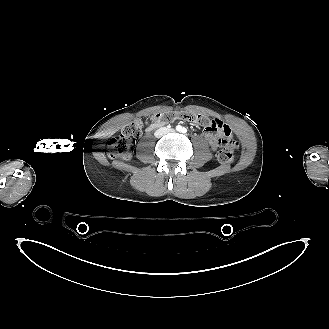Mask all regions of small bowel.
<instances>
[{
  "label": "small bowel",
  "mask_w": 329,
  "mask_h": 329,
  "mask_svg": "<svg viewBox=\"0 0 329 329\" xmlns=\"http://www.w3.org/2000/svg\"><path fill=\"white\" fill-rule=\"evenodd\" d=\"M219 121V120H218ZM220 124L217 125V122L215 120H212L210 122V125L212 127H215L216 125V131L205 129L204 130V136L209 140L210 146L212 150L216 151L219 147V143L221 142L223 137H227L229 139H233V135L231 132V129L228 125L224 124L223 122L219 121ZM158 126L156 124H149L147 127V131H153Z\"/></svg>",
  "instance_id": "1"
}]
</instances>
